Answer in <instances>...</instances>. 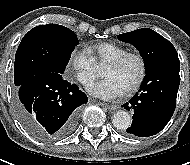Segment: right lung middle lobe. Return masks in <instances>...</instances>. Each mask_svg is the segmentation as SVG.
Masks as SVG:
<instances>
[{
  "label": "right lung middle lobe",
  "mask_w": 190,
  "mask_h": 165,
  "mask_svg": "<svg viewBox=\"0 0 190 165\" xmlns=\"http://www.w3.org/2000/svg\"><path fill=\"white\" fill-rule=\"evenodd\" d=\"M78 43L77 35L62 25L47 24L31 29L23 37L16 52L15 86L20 87L41 73L62 74Z\"/></svg>",
  "instance_id": "obj_1"
}]
</instances>
